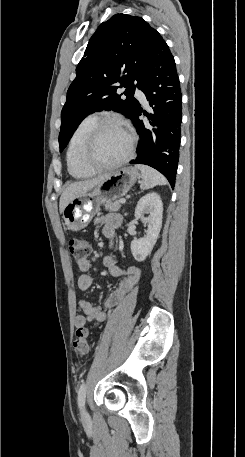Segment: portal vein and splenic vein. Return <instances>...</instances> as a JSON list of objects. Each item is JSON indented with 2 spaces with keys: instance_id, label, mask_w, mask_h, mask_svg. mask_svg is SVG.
Segmentation results:
<instances>
[{
  "instance_id": "1",
  "label": "portal vein and splenic vein",
  "mask_w": 245,
  "mask_h": 457,
  "mask_svg": "<svg viewBox=\"0 0 245 457\" xmlns=\"http://www.w3.org/2000/svg\"><path fill=\"white\" fill-rule=\"evenodd\" d=\"M119 202H126V198H120Z\"/></svg>"
}]
</instances>
